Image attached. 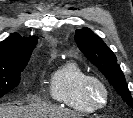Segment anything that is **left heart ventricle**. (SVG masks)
Segmentation results:
<instances>
[{
  "instance_id": "obj_1",
  "label": "left heart ventricle",
  "mask_w": 133,
  "mask_h": 118,
  "mask_svg": "<svg viewBox=\"0 0 133 118\" xmlns=\"http://www.w3.org/2000/svg\"><path fill=\"white\" fill-rule=\"evenodd\" d=\"M94 98L98 102H100L102 100V98H103L102 91L99 88H97V87L94 88Z\"/></svg>"
}]
</instances>
